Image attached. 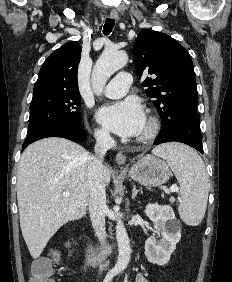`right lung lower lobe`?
I'll return each mask as SVG.
<instances>
[{"label": "right lung lower lobe", "mask_w": 232, "mask_h": 282, "mask_svg": "<svg viewBox=\"0 0 232 282\" xmlns=\"http://www.w3.org/2000/svg\"><path fill=\"white\" fill-rule=\"evenodd\" d=\"M46 137H62L74 142H83L86 139V132L79 126L67 123L53 124L28 134L22 145V151L29 144Z\"/></svg>", "instance_id": "1"}]
</instances>
